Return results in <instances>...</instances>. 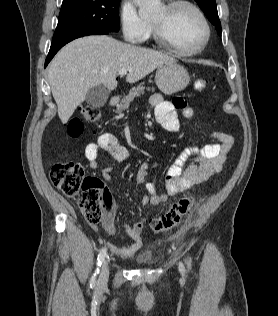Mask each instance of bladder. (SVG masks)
<instances>
[{"instance_id": "31cf9c89", "label": "bladder", "mask_w": 278, "mask_h": 316, "mask_svg": "<svg viewBox=\"0 0 278 316\" xmlns=\"http://www.w3.org/2000/svg\"><path fill=\"white\" fill-rule=\"evenodd\" d=\"M152 262V260L150 258H140L138 259V263L141 264H150Z\"/></svg>"}]
</instances>
